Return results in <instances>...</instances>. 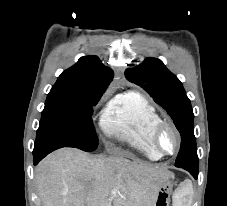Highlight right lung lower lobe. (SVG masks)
I'll return each instance as SVG.
<instances>
[{
  "label": "right lung lower lobe",
  "mask_w": 227,
  "mask_h": 206,
  "mask_svg": "<svg viewBox=\"0 0 227 206\" xmlns=\"http://www.w3.org/2000/svg\"><path fill=\"white\" fill-rule=\"evenodd\" d=\"M56 149H57L56 147H46L39 149L37 151H33L34 165H37L46 155H48L50 152Z\"/></svg>",
  "instance_id": "right-lung-lower-lobe-1"
}]
</instances>
